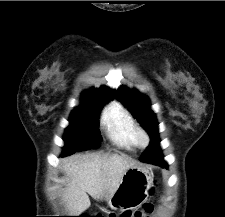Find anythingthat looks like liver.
Segmentation results:
<instances>
[{"label": "liver", "mask_w": 225, "mask_h": 217, "mask_svg": "<svg viewBox=\"0 0 225 217\" xmlns=\"http://www.w3.org/2000/svg\"><path fill=\"white\" fill-rule=\"evenodd\" d=\"M135 165L129 157L104 154L92 159L71 157L64 160L62 170L69 178L63 198L71 214H81L96 200H110L117 192L124 172Z\"/></svg>", "instance_id": "6515ba94"}]
</instances>
